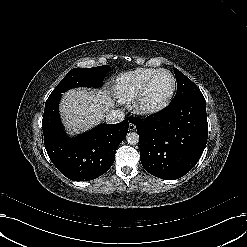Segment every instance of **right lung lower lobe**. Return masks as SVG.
Masks as SVG:
<instances>
[{"label": "right lung lower lobe", "instance_id": "right-lung-lower-lobe-1", "mask_svg": "<svg viewBox=\"0 0 247 247\" xmlns=\"http://www.w3.org/2000/svg\"><path fill=\"white\" fill-rule=\"evenodd\" d=\"M61 95L49 97L42 120L44 144L55 167L74 181L93 180L109 170L129 122L101 124L75 138L66 136L59 117Z\"/></svg>", "mask_w": 247, "mask_h": 247}]
</instances>
